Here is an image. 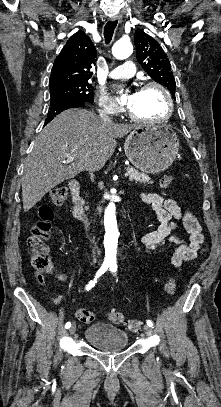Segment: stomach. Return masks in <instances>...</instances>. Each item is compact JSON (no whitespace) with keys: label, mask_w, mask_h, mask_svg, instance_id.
Segmentation results:
<instances>
[{"label":"stomach","mask_w":221,"mask_h":407,"mask_svg":"<svg viewBox=\"0 0 221 407\" xmlns=\"http://www.w3.org/2000/svg\"><path fill=\"white\" fill-rule=\"evenodd\" d=\"M179 150V139L169 126H137L127 136L124 151L139 170L157 174L170 167Z\"/></svg>","instance_id":"0dacf381"}]
</instances>
